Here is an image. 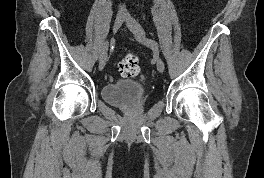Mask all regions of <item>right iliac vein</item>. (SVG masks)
Segmentation results:
<instances>
[{"label":"right iliac vein","mask_w":264,"mask_h":178,"mask_svg":"<svg viewBox=\"0 0 264 178\" xmlns=\"http://www.w3.org/2000/svg\"><path fill=\"white\" fill-rule=\"evenodd\" d=\"M125 19H126V16L124 14H122V13H118L117 14L116 19H115V23H114V26H113V32H117L118 31V29L122 26V24L125 21ZM106 62H107V56L105 55L100 60L99 70H102L105 67Z\"/></svg>","instance_id":"obj_1"}]
</instances>
